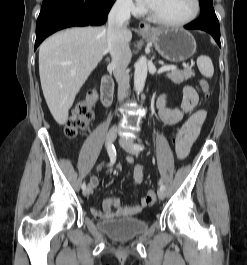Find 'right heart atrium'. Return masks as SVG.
Returning <instances> with one entry per match:
<instances>
[{"label":"right heart atrium","mask_w":247,"mask_h":265,"mask_svg":"<svg viewBox=\"0 0 247 265\" xmlns=\"http://www.w3.org/2000/svg\"><path fill=\"white\" fill-rule=\"evenodd\" d=\"M117 3L122 10L134 14H138L142 10L133 0H117Z\"/></svg>","instance_id":"right-heart-atrium-1"}]
</instances>
